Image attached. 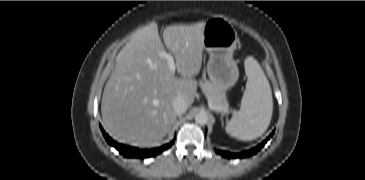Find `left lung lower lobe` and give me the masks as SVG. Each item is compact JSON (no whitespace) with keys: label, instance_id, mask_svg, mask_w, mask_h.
<instances>
[{"label":"left lung lower lobe","instance_id":"obj_1","mask_svg":"<svg viewBox=\"0 0 365 180\" xmlns=\"http://www.w3.org/2000/svg\"><path fill=\"white\" fill-rule=\"evenodd\" d=\"M273 133H274V131L270 134L269 137L266 138V140H264L261 144H259L257 147H255L251 150H248V151H245L242 153H228L225 151H217V153L221 154L222 156L229 158V159L230 158H244V157L254 155L266 144V142L270 139V137H272Z\"/></svg>","mask_w":365,"mask_h":180}]
</instances>
